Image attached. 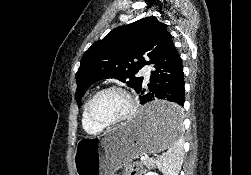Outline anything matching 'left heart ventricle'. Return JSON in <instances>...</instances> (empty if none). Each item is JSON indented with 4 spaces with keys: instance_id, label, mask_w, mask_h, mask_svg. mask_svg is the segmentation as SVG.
<instances>
[{
    "instance_id": "1",
    "label": "left heart ventricle",
    "mask_w": 251,
    "mask_h": 175,
    "mask_svg": "<svg viewBox=\"0 0 251 175\" xmlns=\"http://www.w3.org/2000/svg\"><path fill=\"white\" fill-rule=\"evenodd\" d=\"M129 110V102L124 93L111 90L101 94L95 101L93 112L101 120L112 123L123 118Z\"/></svg>"
}]
</instances>
